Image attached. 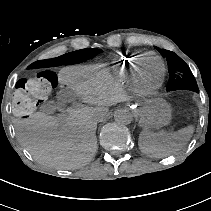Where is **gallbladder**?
Listing matches in <instances>:
<instances>
[{
	"mask_svg": "<svg viewBox=\"0 0 211 211\" xmlns=\"http://www.w3.org/2000/svg\"><path fill=\"white\" fill-rule=\"evenodd\" d=\"M77 99L76 92L70 87H62L57 92V107H62L67 103L73 102Z\"/></svg>",
	"mask_w": 211,
	"mask_h": 211,
	"instance_id": "1",
	"label": "gallbladder"
}]
</instances>
